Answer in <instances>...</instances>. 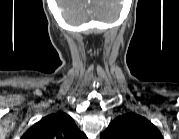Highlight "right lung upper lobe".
<instances>
[{
	"mask_svg": "<svg viewBox=\"0 0 179 139\" xmlns=\"http://www.w3.org/2000/svg\"><path fill=\"white\" fill-rule=\"evenodd\" d=\"M85 134L74 120L64 112H57L42 118L24 135L23 139H84Z\"/></svg>",
	"mask_w": 179,
	"mask_h": 139,
	"instance_id": "obj_1",
	"label": "right lung upper lobe"
}]
</instances>
